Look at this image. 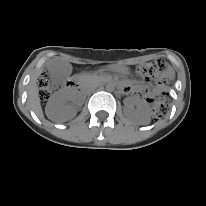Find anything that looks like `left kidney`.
Returning <instances> with one entry per match:
<instances>
[{
  "mask_svg": "<svg viewBox=\"0 0 206 206\" xmlns=\"http://www.w3.org/2000/svg\"><path fill=\"white\" fill-rule=\"evenodd\" d=\"M134 106L137 107L134 110ZM124 113L130 118H134L141 125H147L151 121L150 107L145 100L130 97L125 100Z\"/></svg>",
  "mask_w": 206,
  "mask_h": 206,
  "instance_id": "left-kidney-1",
  "label": "left kidney"
}]
</instances>
